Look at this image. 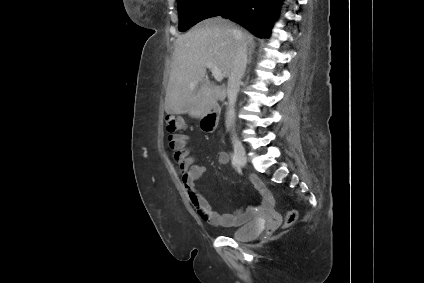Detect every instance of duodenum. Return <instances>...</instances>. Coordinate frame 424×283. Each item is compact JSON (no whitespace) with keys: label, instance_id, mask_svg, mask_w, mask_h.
<instances>
[{"label":"duodenum","instance_id":"obj_1","mask_svg":"<svg viewBox=\"0 0 424 283\" xmlns=\"http://www.w3.org/2000/svg\"><path fill=\"white\" fill-rule=\"evenodd\" d=\"M219 112V108L216 105L209 107L201 122V127L204 131L213 132L216 129L219 121Z\"/></svg>","mask_w":424,"mask_h":283}]
</instances>
